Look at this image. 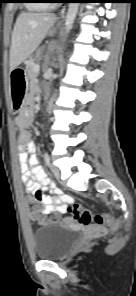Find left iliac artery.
<instances>
[{
    "label": "left iliac artery",
    "instance_id": "44dca946",
    "mask_svg": "<svg viewBox=\"0 0 136 296\" xmlns=\"http://www.w3.org/2000/svg\"><path fill=\"white\" fill-rule=\"evenodd\" d=\"M44 160L46 162V164L49 166L50 165V159L47 153L44 154Z\"/></svg>",
    "mask_w": 136,
    "mask_h": 296
}]
</instances>
